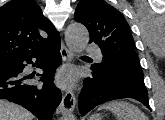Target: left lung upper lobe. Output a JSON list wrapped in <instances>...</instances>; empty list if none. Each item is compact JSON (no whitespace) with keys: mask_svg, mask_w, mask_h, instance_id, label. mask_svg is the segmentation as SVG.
Returning a JSON list of instances; mask_svg holds the SVG:
<instances>
[{"mask_svg":"<svg viewBox=\"0 0 165 120\" xmlns=\"http://www.w3.org/2000/svg\"><path fill=\"white\" fill-rule=\"evenodd\" d=\"M74 19L87 27L90 42L101 48L103 60L93 64L100 75L113 77L122 84L145 86L134 40L120 11L104 0H81Z\"/></svg>","mask_w":165,"mask_h":120,"instance_id":"5c2ea615","label":"left lung upper lobe"}]
</instances>
